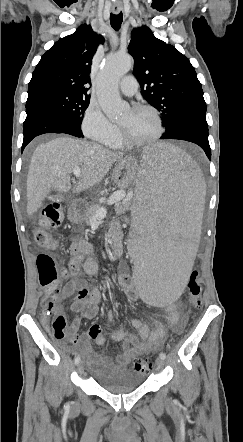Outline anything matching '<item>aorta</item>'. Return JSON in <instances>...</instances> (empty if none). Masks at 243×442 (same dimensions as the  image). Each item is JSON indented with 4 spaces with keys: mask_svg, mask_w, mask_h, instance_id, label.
<instances>
[{
    "mask_svg": "<svg viewBox=\"0 0 243 442\" xmlns=\"http://www.w3.org/2000/svg\"><path fill=\"white\" fill-rule=\"evenodd\" d=\"M132 62L129 56L109 55L98 75L97 98L100 107L109 119L122 115L128 105L119 94L118 82L129 72Z\"/></svg>",
    "mask_w": 243,
    "mask_h": 442,
    "instance_id": "762f6f07",
    "label": "aorta"
}]
</instances>
